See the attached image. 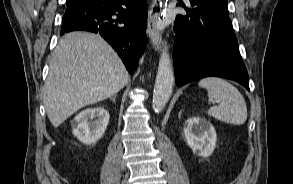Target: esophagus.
Returning <instances> with one entry per match:
<instances>
[{"instance_id":"obj_1","label":"esophagus","mask_w":293,"mask_h":184,"mask_svg":"<svg viewBox=\"0 0 293 184\" xmlns=\"http://www.w3.org/2000/svg\"><path fill=\"white\" fill-rule=\"evenodd\" d=\"M161 15L160 0H152L148 10L147 35L155 50L161 48V36L158 30V22Z\"/></svg>"}]
</instances>
